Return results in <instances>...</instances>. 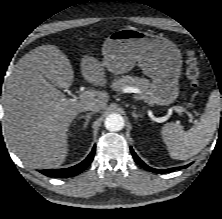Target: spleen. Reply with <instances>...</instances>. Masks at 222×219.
<instances>
[{
    "label": "spleen",
    "mask_w": 222,
    "mask_h": 219,
    "mask_svg": "<svg viewBox=\"0 0 222 219\" xmlns=\"http://www.w3.org/2000/svg\"><path fill=\"white\" fill-rule=\"evenodd\" d=\"M222 101L220 93L214 90L200 121L188 131L176 123H167L162 128V138L173 159L186 160L198 154L213 137L220 121Z\"/></svg>",
    "instance_id": "3e777b00"
}]
</instances>
